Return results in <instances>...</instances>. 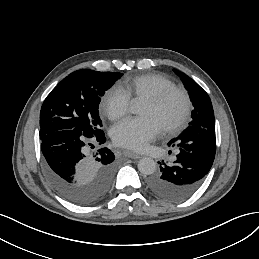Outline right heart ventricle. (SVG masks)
I'll list each match as a JSON object with an SVG mask.
<instances>
[{
  "instance_id": "1",
  "label": "right heart ventricle",
  "mask_w": 259,
  "mask_h": 259,
  "mask_svg": "<svg viewBox=\"0 0 259 259\" xmlns=\"http://www.w3.org/2000/svg\"><path fill=\"white\" fill-rule=\"evenodd\" d=\"M173 85L169 78L159 74L126 75L117 83L115 91L129 101L146 100Z\"/></svg>"
}]
</instances>
